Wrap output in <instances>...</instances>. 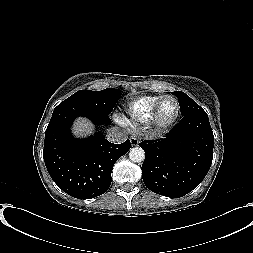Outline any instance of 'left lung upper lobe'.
<instances>
[{
  "mask_svg": "<svg viewBox=\"0 0 253 253\" xmlns=\"http://www.w3.org/2000/svg\"><path fill=\"white\" fill-rule=\"evenodd\" d=\"M172 94H174L178 98L179 105L181 108V114L183 116L205 112L194 100H192L184 92L176 91L172 92Z\"/></svg>",
  "mask_w": 253,
  "mask_h": 253,
  "instance_id": "1",
  "label": "left lung upper lobe"
}]
</instances>
